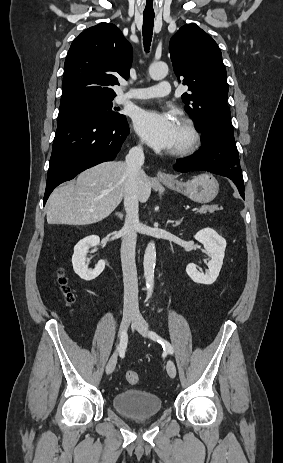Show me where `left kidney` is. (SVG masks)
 <instances>
[{"mask_svg": "<svg viewBox=\"0 0 283 463\" xmlns=\"http://www.w3.org/2000/svg\"><path fill=\"white\" fill-rule=\"evenodd\" d=\"M194 238L202 243L211 256L208 263V271L204 274L197 270L194 263H189L186 267L187 275L196 283L210 285L213 284L221 270L226 240L212 228H204L197 232Z\"/></svg>", "mask_w": 283, "mask_h": 463, "instance_id": "5707ae66", "label": "left kidney"}]
</instances>
